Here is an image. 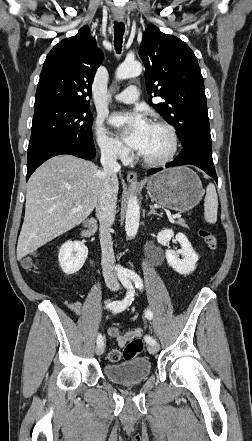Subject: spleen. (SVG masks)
Masks as SVG:
<instances>
[{
  "instance_id": "obj_1",
  "label": "spleen",
  "mask_w": 252,
  "mask_h": 441,
  "mask_svg": "<svg viewBox=\"0 0 252 441\" xmlns=\"http://www.w3.org/2000/svg\"><path fill=\"white\" fill-rule=\"evenodd\" d=\"M218 197L215 186L209 184L206 189L204 199V219L206 222L214 224L217 221Z\"/></svg>"
}]
</instances>
